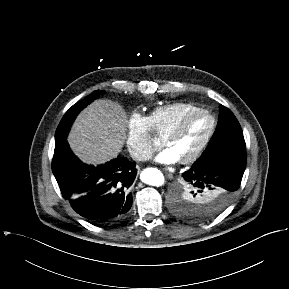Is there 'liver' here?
Here are the masks:
<instances>
[{"instance_id": "liver-1", "label": "liver", "mask_w": 289, "mask_h": 289, "mask_svg": "<svg viewBox=\"0 0 289 289\" xmlns=\"http://www.w3.org/2000/svg\"><path fill=\"white\" fill-rule=\"evenodd\" d=\"M127 125V114L118 103L96 100L77 116L68 143L84 163L103 164L121 152Z\"/></svg>"}]
</instances>
